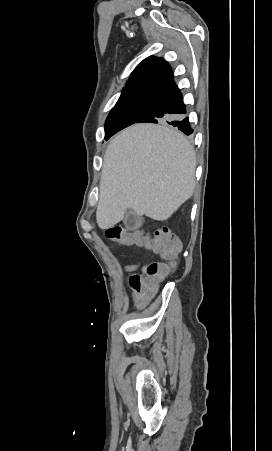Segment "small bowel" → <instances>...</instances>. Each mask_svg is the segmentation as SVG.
Masks as SVG:
<instances>
[{"instance_id":"obj_1","label":"small bowel","mask_w":272,"mask_h":451,"mask_svg":"<svg viewBox=\"0 0 272 451\" xmlns=\"http://www.w3.org/2000/svg\"><path fill=\"white\" fill-rule=\"evenodd\" d=\"M142 301H144V300H136V302H137L138 304H140Z\"/></svg>"}]
</instances>
